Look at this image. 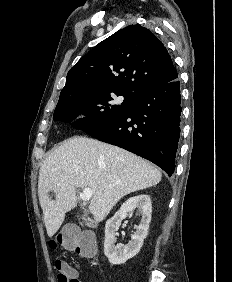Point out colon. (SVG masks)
Segmentation results:
<instances>
[{
	"mask_svg": "<svg viewBox=\"0 0 232 282\" xmlns=\"http://www.w3.org/2000/svg\"><path fill=\"white\" fill-rule=\"evenodd\" d=\"M53 248L61 246L76 252L83 257H91L94 253V242L88 233H78L68 230L60 233L51 243ZM54 268L57 271L58 282H78L72 274V268L63 260L55 259Z\"/></svg>",
	"mask_w": 232,
	"mask_h": 282,
	"instance_id": "colon-1",
	"label": "colon"
}]
</instances>
